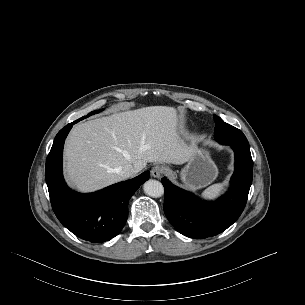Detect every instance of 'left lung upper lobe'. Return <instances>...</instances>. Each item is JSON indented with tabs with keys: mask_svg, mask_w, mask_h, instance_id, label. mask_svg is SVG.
Masks as SVG:
<instances>
[{
	"mask_svg": "<svg viewBox=\"0 0 305 305\" xmlns=\"http://www.w3.org/2000/svg\"><path fill=\"white\" fill-rule=\"evenodd\" d=\"M215 120L214 138L219 143L234 142L249 145L245 135L237 128L225 123L221 118L213 115Z\"/></svg>",
	"mask_w": 305,
	"mask_h": 305,
	"instance_id": "1",
	"label": "left lung upper lobe"
}]
</instances>
